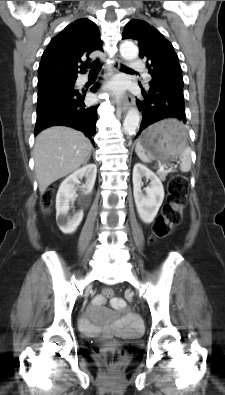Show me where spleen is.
<instances>
[{"label": "spleen", "mask_w": 225, "mask_h": 395, "mask_svg": "<svg viewBox=\"0 0 225 395\" xmlns=\"http://www.w3.org/2000/svg\"><path fill=\"white\" fill-rule=\"evenodd\" d=\"M136 153L138 157L145 163H149L151 161V157L149 154H146L145 151L140 146L139 141L136 144ZM180 169L183 172H187L191 169V150L189 147H186L180 154Z\"/></svg>", "instance_id": "obj_1"}]
</instances>
